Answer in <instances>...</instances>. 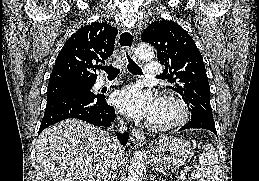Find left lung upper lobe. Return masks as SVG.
Wrapping results in <instances>:
<instances>
[{"label": "left lung upper lobe", "mask_w": 259, "mask_h": 181, "mask_svg": "<svg viewBox=\"0 0 259 181\" xmlns=\"http://www.w3.org/2000/svg\"><path fill=\"white\" fill-rule=\"evenodd\" d=\"M141 40L157 49L165 73L171 74L167 87L182 96L191 109V119L214 124L205 65L192 37L177 23L162 19L152 22Z\"/></svg>", "instance_id": "obj_1"}]
</instances>
